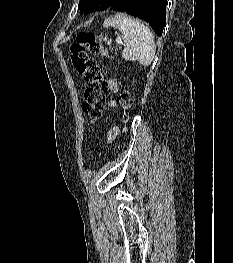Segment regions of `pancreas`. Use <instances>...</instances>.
I'll return each mask as SVG.
<instances>
[{
	"label": "pancreas",
	"instance_id": "cf45deb5",
	"mask_svg": "<svg viewBox=\"0 0 233 263\" xmlns=\"http://www.w3.org/2000/svg\"><path fill=\"white\" fill-rule=\"evenodd\" d=\"M118 49H120V46L115 47V51H117ZM111 50H113V48ZM115 54L117 55V52H115Z\"/></svg>",
	"mask_w": 233,
	"mask_h": 263
}]
</instances>
